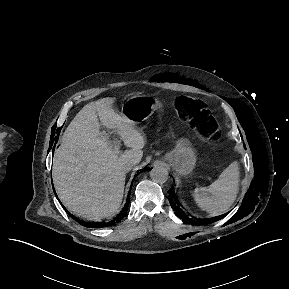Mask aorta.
Listing matches in <instances>:
<instances>
[{
  "label": "aorta",
  "instance_id": "1",
  "mask_svg": "<svg viewBox=\"0 0 289 289\" xmlns=\"http://www.w3.org/2000/svg\"><path fill=\"white\" fill-rule=\"evenodd\" d=\"M151 179L159 184L165 183L169 178L168 170L164 167H154L150 171Z\"/></svg>",
  "mask_w": 289,
  "mask_h": 289
}]
</instances>
